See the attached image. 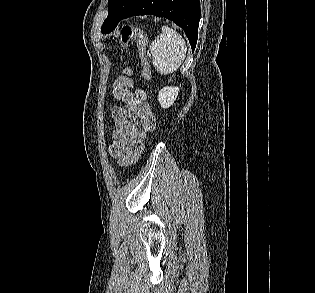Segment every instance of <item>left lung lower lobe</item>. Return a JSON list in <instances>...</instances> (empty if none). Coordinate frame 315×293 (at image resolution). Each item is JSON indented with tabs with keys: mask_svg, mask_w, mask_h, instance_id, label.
Wrapping results in <instances>:
<instances>
[{
	"mask_svg": "<svg viewBox=\"0 0 315 293\" xmlns=\"http://www.w3.org/2000/svg\"><path fill=\"white\" fill-rule=\"evenodd\" d=\"M147 14L172 20L184 30L192 50L195 49L200 19L199 0H139L124 18Z\"/></svg>",
	"mask_w": 315,
	"mask_h": 293,
	"instance_id": "left-lung-lower-lobe-1",
	"label": "left lung lower lobe"
}]
</instances>
